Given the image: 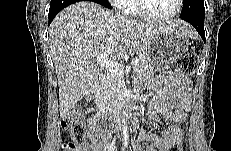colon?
Listing matches in <instances>:
<instances>
[{
	"instance_id": "colon-1",
	"label": "colon",
	"mask_w": 231,
	"mask_h": 151,
	"mask_svg": "<svg viewBox=\"0 0 231 151\" xmlns=\"http://www.w3.org/2000/svg\"><path fill=\"white\" fill-rule=\"evenodd\" d=\"M197 68V57L186 54L177 61L178 71L186 77L192 76ZM62 127L69 130L72 142L62 146L63 151H80L81 145L87 140V132L83 113L75 108L66 113L62 119ZM183 133L180 124L173 126V141L168 151H182Z\"/></svg>"
}]
</instances>
